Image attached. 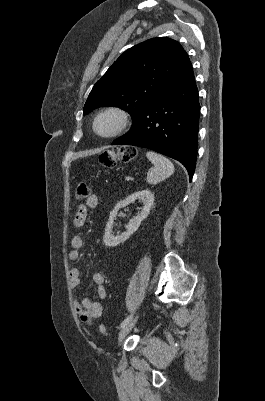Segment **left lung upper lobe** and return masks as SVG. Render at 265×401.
<instances>
[{
    "mask_svg": "<svg viewBox=\"0 0 265 401\" xmlns=\"http://www.w3.org/2000/svg\"><path fill=\"white\" fill-rule=\"evenodd\" d=\"M190 59L175 40L152 38L126 50L95 83L83 114L101 106L127 110L133 123L185 70Z\"/></svg>",
    "mask_w": 265,
    "mask_h": 401,
    "instance_id": "1",
    "label": "left lung upper lobe"
}]
</instances>
